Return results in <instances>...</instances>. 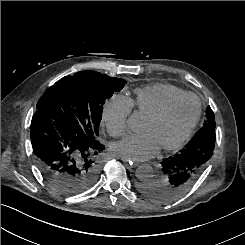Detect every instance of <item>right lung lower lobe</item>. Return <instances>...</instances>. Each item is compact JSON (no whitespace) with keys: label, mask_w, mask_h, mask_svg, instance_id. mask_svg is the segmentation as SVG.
Listing matches in <instances>:
<instances>
[{"label":"right lung lower lobe","mask_w":245,"mask_h":245,"mask_svg":"<svg viewBox=\"0 0 245 245\" xmlns=\"http://www.w3.org/2000/svg\"><path fill=\"white\" fill-rule=\"evenodd\" d=\"M30 135L38 169L56 191L76 195L93 186L104 145L83 139L41 110L32 118Z\"/></svg>","instance_id":"98d812e1"}]
</instances>
